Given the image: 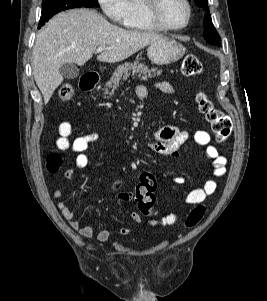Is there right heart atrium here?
I'll use <instances>...</instances> for the list:
<instances>
[{
	"instance_id": "d8ad5b80",
	"label": "right heart atrium",
	"mask_w": 267,
	"mask_h": 301,
	"mask_svg": "<svg viewBox=\"0 0 267 301\" xmlns=\"http://www.w3.org/2000/svg\"><path fill=\"white\" fill-rule=\"evenodd\" d=\"M102 12L114 23L124 25L127 18V0H97Z\"/></svg>"
}]
</instances>
